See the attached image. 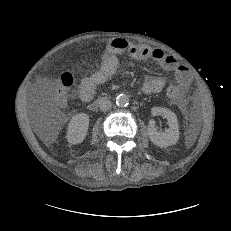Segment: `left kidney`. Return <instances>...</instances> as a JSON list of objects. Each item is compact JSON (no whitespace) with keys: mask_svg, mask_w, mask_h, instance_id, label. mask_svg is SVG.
<instances>
[{"mask_svg":"<svg viewBox=\"0 0 231 231\" xmlns=\"http://www.w3.org/2000/svg\"><path fill=\"white\" fill-rule=\"evenodd\" d=\"M151 113L153 116L162 115L167 119L169 125V128L161 133L157 131L155 121L151 119L148 125V136L151 142L162 148L176 144L179 139V125L176 114L161 107H153Z\"/></svg>","mask_w":231,"mask_h":231,"instance_id":"5707ae66","label":"left kidney"}]
</instances>
